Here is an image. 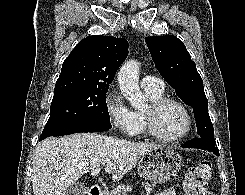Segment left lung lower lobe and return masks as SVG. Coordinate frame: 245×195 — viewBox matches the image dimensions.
I'll return each instance as SVG.
<instances>
[{
	"mask_svg": "<svg viewBox=\"0 0 245 195\" xmlns=\"http://www.w3.org/2000/svg\"><path fill=\"white\" fill-rule=\"evenodd\" d=\"M182 147L199 148V149H203V150L213 152L214 154L219 156V151H218V148L215 146V144L209 142L206 139L200 138V137L194 138V139L188 141L187 143L183 144Z\"/></svg>",
	"mask_w": 245,
	"mask_h": 195,
	"instance_id": "obj_1",
	"label": "left lung lower lobe"
}]
</instances>
